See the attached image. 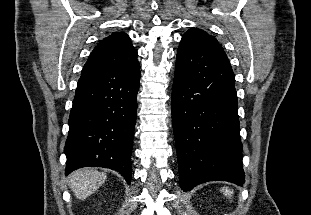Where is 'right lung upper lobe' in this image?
Returning a JSON list of instances; mask_svg holds the SVG:
<instances>
[{
  "label": "right lung upper lobe",
  "mask_w": 311,
  "mask_h": 215,
  "mask_svg": "<svg viewBox=\"0 0 311 215\" xmlns=\"http://www.w3.org/2000/svg\"><path fill=\"white\" fill-rule=\"evenodd\" d=\"M137 62V50L124 32L102 40L91 52L84 66L128 67Z\"/></svg>",
  "instance_id": "1"
}]
</instances>
